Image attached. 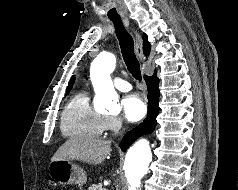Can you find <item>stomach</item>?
I'll return each instance as SVG.
<instances>
[{"label":"stomach","instance_id":"stomach-1","mask_svg":"<svg viewBox=\"0 0 238 190\" xmlns=\"http://www.w3.org/2000/svg\"><path fill=\"white\" fill-rule=\"evenodd\" d=\"M50 177L59 184L83 186L87 182V175L83 168L70 161L59 160L48 166Z\"/></svg>","mask_w":238,"mask_h":190}]
</instances>
